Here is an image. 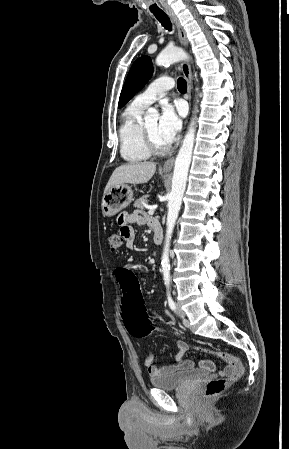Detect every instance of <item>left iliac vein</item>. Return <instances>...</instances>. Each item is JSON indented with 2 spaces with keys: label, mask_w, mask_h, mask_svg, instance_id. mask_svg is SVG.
<instances>
[{
  "label": "left iliac vein",
  "mask_w": 289,
  "mask_h": 449,
  "mask_svg": "<svg viewBox=\"0 0 289 449\" xmlns=\"http://www.w3.org/2000/svg\"><path fill=\"white\" fill-rule=\"evenodd\" d=\"M175 312H176V314H177L180 318H182L183 324H184L186 327H190V323H189V321L186 319V314H185V312L183 311V309L180 307V305H177V306H176Z\"/></svg>",
  "instance_id": "4c4485c4"
}]
</instances>
